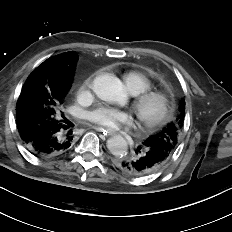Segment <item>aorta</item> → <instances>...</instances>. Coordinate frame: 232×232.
Masks as SVG:
<instances>
[{"mask_svg":"<svg viewBox=\"0 0 232 232\" xmlns=\"http://www.w3.org/2000/svg\"><path fill=\"white\" fill-rule=\"evenodd\" d=\"M93 89L101 100L109 103L123 104L127 99V93L121 81L112 74L97 76L93 82ZM107 148L115 156H124L127 153L128 144L121 135H115L107 140Z\"/></svg>","mask_w":232,"mask_h":232,"instance_id":"obj_1","label":"aorta"}]
</instances>
